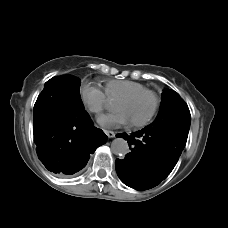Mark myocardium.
Segmentation results:
<instances>
[{"mask_svg": "<svg viewBox=\"0 0 228 228\" xmlns=\"http://www.w3.org/2000/svg\"><path fill=\"white\" fill-rule=\"evenodd\" d=\"M143 96H150L152 98V106L149 110V112L139 118V119H135L133 118L132 116H130L128 113H127V107L134 101H136L137 99L143 97ZM157 107H158V97L157 95L151 91V90H148V91H144L138 95H135V96H132V97H129L127 98L126 100H124L120 105H119V109L121 111H123L131 120V122L134 124V125H143L145 123H147L155 114L156 110H157Z\"/></svg>", "mask_w": 228, "mask_h": 228, "instance_id": "myocardium-1", "label": "myocardium"}]
</instances>
